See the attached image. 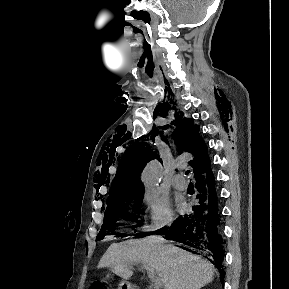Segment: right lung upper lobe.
Segmentation results:
<instances>
[{
  "instance_id": "right-lung-upper-lobe-1",
  "label": "right lung upper lobe",
  "mask_w": 289,
  "mask_h": 289,
  "mask_svg": "<svg viewBox=\"0 0 289 289\" xmlns=\"http://www.w3.org/2000/svg\"><path fill=\"white\" fill-rule=\"evenodd\" d=\"M176 122L178 126L174 131L175 144L179 153L185 151L193 155V160L189 163L193 167L195 179H198L211 170L207 147L197 131L199 127L193 124L192 119H186L181 114ZM153 157L154 153L146 143H134L126 150L112 182L106 200L107 206L136 194H144L139 177L146 162Z\"/></svg>"
}]
</instances>
